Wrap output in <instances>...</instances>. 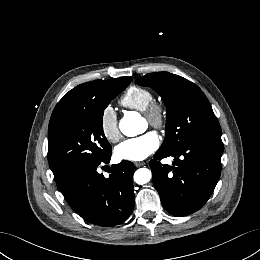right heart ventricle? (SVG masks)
Masks as SVG:
<instances>
[{
    "label": "right heart ventricle",
    "mask_w": 260,
    "mask_h": 260,
    "mask_svg": "<svg viewBox=\"0 0 260 260\" xmlns=\"http://www.w3.org/2000/svg\"><path fill=\"white\" fill-rule=\"evenodd\" d=\"M153 101V94L149 89L131 86L120 99V104L126 108L144 111Z\"/></svg>",
    "instance_id": "obj_1"
}]
</instances>
